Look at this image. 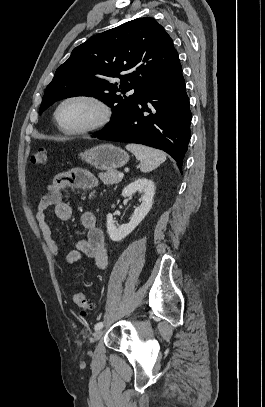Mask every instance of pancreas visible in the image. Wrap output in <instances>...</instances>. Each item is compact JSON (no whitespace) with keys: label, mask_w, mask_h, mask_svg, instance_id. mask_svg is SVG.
I'll list each match as a JSON object with an SVG mask.
<instances>
[{"label":"pancreas","mask_w":265,"mask_h":407,"mask_svg":"<svg viewBox=\"0 0 265 407\" xmlns=\"http://www.w3.org/2000/svg\"><path fill=\"white\" fill-rule=\"evenodd\" d=\"M119 172L110 170L105 173H99L98 177L105 185H112L119 183L122 179L118 177Z\"/></svg>","instance_id":"obj_1"}]
</instances>
